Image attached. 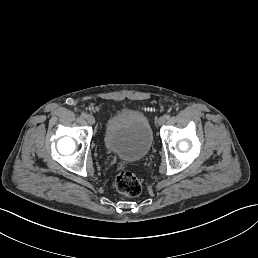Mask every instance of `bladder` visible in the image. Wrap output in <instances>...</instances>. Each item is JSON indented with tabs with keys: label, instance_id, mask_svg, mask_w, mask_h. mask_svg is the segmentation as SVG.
<instances>
[{
	"label": "bladder",
	"instance_id": "obj_1",
	"mask_svg": "<svg viewBox=\"0 0 258 258\" xmlns=\"http://www.w3.org/2000/svg\"><path fill=\"white\" fill-rule=\"evenodd\" d=\"M103 141L106 148L123 162L143 158L150 150L153 133L147 117L139 111H122L106 123Z\"/></svg>",
	"mask_w": 258,
	"mask_h": 258
}]
</instances>
